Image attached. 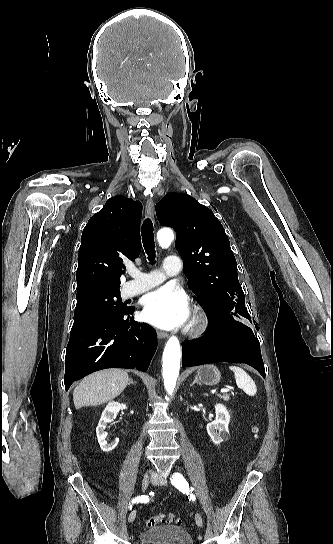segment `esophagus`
<instances>
[{"label": "esophagus", "mask_w": 333, "mask_h": 544, "mask_svg": "<svg viewBox=\"0 0 333 544\" xmlns=\"http://www.w3.org/2000/svg\"><path fill=\"white\" fill-rule=\"evenodd\" d=\"M146 213L148 217H150L152 220H154V201L152 198H148L146 200ZM157 336L159 339H164L167 337V333L157 330Z\"/></svg>", "instance_id": "1"}]
</instances>
